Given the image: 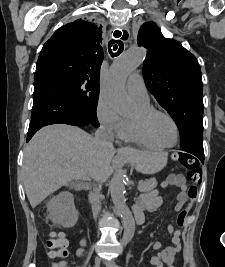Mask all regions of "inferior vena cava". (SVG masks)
Listing matches in <instances>:
<instances>
[{
  "mask_svg": "<svg viewBox=\"0 0 225 267\" xmlns=\"http://www.w3.org/2000/svg\"><path fill=\"white\" fill-rule=\"evenodd\" d=\"M113 133L110 129L101 126L95 133L94 141L102 150L113 147ZM93 185L90 191V200L92 202V210L97 213L100 209V190L102 183L107 179L104 169H98L93 176Z\"/></svg>",
  "mask_w": 225,
  "mask_h": 267,
  "instance_id": "inferior-vena-cava-1",
  "label": "inferior vena cava"
}]
</instances>
